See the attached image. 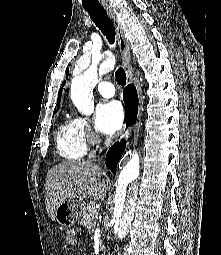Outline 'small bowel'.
<instances>
[{"label":"small bowel","instance_id":"small-bowel-1","mask_svg":"<svg viewBox=\"0 0 221 255\" xmlns=\"http://www.w3.org/2000/svg\"><path fill=\"white\" fill-rule=\"evenodd\" d=\"M66 242L71 246L77 245L78 240L74 231H68L66 233Z\"/></svg>","mask_w":221,"mask_h":255}]
</instances>
